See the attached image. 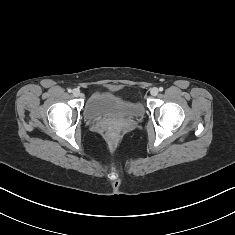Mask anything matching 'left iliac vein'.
Here are the masks:
<instances>
[{
  "label": "left iliac vein",
  "instance_id": "left-iliac-vein-1",
  "mask_svg": "<svg viewBox=\"0 0 235 235\" xmlns=\"http://www.w3.org/2000/svg\"><path fill=\"white\" fill-rule=\"evenodd\" d=\"M158 92H159V90H158V88H156V87H153V88L151 89V91H150V93H151L152 96L158 95Z\"/></svg>",
  "mask_w": 235,
  "mask_h": 235
}]
</instances>
